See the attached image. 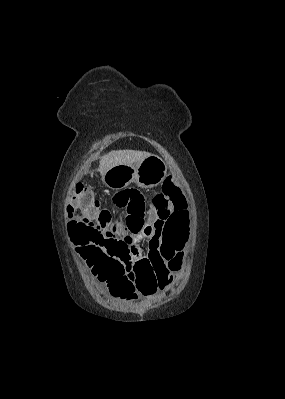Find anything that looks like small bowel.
I'll return each mask as SVG.
<instances>
[{
	"instance_id": "1",
	"label": "small bowel",
	"mask_w": 285,
	"mask_h": 399,
	"mask_svg": "<svg viewBox=\"0 0 285 399\" xmlns=\"http://www.w3.org/2000/svg\"><path fill=\"white\" fill-rule=\"evenodd\" d=\"M160 222H161V220L158 217L156 210L149 211L148 212V221L146 222V224L142 230V233L138 236L140 238L148 240L150 251L152 249L159 248L162 241L164 240L162 233L159 232L156 228V225ZM190 224H191V221L187 219L185 222L174 227L173 230L184 232L187 236L190 231ZM137 254L139 256L147 257L149 253H143V251L140 248H138ZM90 268L92 270L97 268L99 271L105 272L107 270L114 269V266L112 263H103V264H100L99 266H96V264H93V265H91ZM129 278H130V270H128V266L125 265L123 271L119 273V281H122L124 279L129 280ZM178 279H179L178 276H174V277L169 276V278L164 280L161 284H159V286L163 291H167L169 289L170 285H174V284L178 283V281H179ZM100 291L102 294L110 295L112 298H114L116 300H122V301L127 300V298L124 296H118V295L112 294L107 286H102L100 288ZM151 294L152 293H147V294H143L142 296L145 297V296H149Z\"/></svg>"
}]
</instances>
